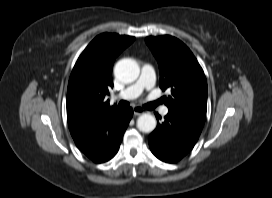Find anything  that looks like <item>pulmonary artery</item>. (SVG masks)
I'll list each match as a JSON object with an SVG mask.
<instances>
[{
	"label": "pulmonary artery",
	"instance_id": "obj_1",
	"mask_svg": "<svg viewBox=\"0 0 272 198\" xmlns=\"http://www.w3.org/2000/svg\"><path fill=\"white\" fill-rule=\"evenodd\" d=\"M155 85V70L149 65L145 64L142 67V75L140 79L128 86L127 88L121 90L117 94H115L114 98L122 99V100H131L139 97L143 91L151 90ZM161 113L166 115L168 113V108L163 107L161 109Z\"/></svg>",
	"mask_w": 272,
	"mask_h": 198
}]
</instances>
